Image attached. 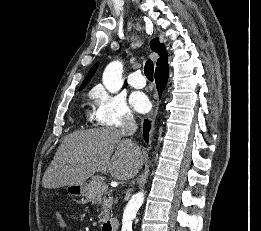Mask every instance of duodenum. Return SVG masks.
<instances>
[{
    "instance_id": "1",
    "label": "duodenum",
    "mask_w": 261,
    "mask_h": 231,
    "mask_svg": "<svg viewBox=\"0 0 261 231\" xmlns=\"http://www.w3.org/2000/svg\"><path fill=\"white\" fill-rule=\"evenodd\" d=\"M119 222L111 219L103 223L101 231H118Z\"/></svg>"
}]
</instances>
